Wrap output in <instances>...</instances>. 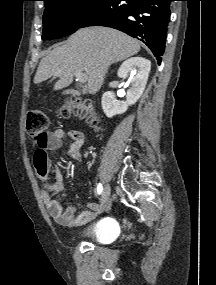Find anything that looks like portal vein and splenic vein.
<instances>
[{
    "label": "portal vein and splenic vein",
    "mask_w": 216,
    "mask_h": 285,
    "mask_svg": "<svg viewBox=\"0 0 216 285\" xmlns=\"http://www.w3.org/2000/svg\"><path fill=\"white\" fill-rule=\"evenodd\" d=\"M56 75L58 76L59 73L56 74ZM74 75L76 76L77 80L80 81V82H86L87 81L86 75L84 73H82V72H78L77 71V72L74 73Z\"/></svg>",
    "instance_id": "18ae733b"
}]
</instances>
